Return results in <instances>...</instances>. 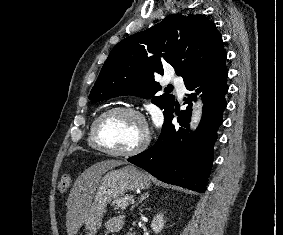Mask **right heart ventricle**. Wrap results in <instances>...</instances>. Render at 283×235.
<instances>
[{"mask_svg":"<svg viewBox=\"0 0 283 235\" xmlns=\"http://www.w3.org/2000/svg\"><path fill=\"white\" fill-rule=\"evenodd\" d=\"M96 118H97V117H96ZM96 118H95V119H96ZM95 119H94V120H95ZM94 120L92 121V123H91V125H90V128H89V132H88V144H89V146L92 147V148H95L94 145H93V143H92V139H91V129H92V125H93Z\"/></svg>","mask_w":283,"mask_h":235,"instance_id":"right-heart-ventricle-1","label":"right heart ventricle"}]
</instances>
